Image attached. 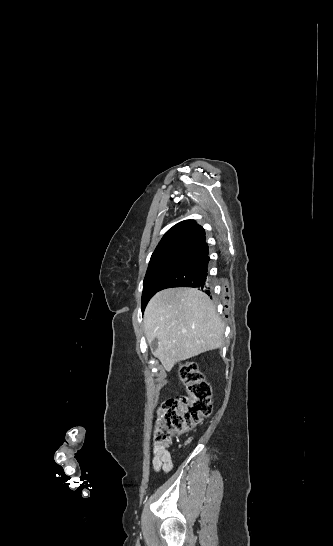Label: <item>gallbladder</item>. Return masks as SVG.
Wrapping results in <instances>:
<instances>
[{
	"mask_svg": "<svg viewBox=\"0 0 333 546\" xmlns=\"http://www.w3.org/2000/svg\"><path fill=\"white\" fill-rule=\"evenodd\" d=\"M157 346H158V342L157 340H154L151 344V350L154 351L157 348Z\"/></svg>",
	"mask_w": 333,
	"mask_h": 546,
	"instance_id": "1",
	"label": "gallbladder"
}]
</instances>
